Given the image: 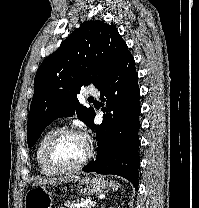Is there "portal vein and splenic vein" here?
<instances>
[{
	"label": "portal vein and splenic vein",
	"instance_id": "1",
	"mask_svg": "<svg viewBox=\"0 0 199 208\" xmlns=\"http://www.w3.org/2000/svg\"><path fill=\"white\" fill-rule=\"evenodd\" d=\"M94 206H95V203L94 202H91V203H86V204H80L77 207L91 208V207H94Z\"/></svg>",
	"mask_w": 199,
	"mask_h": 208
}]
</instances>
